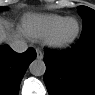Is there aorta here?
<instances>
[{"label":"aorta","instance_id":"obj_1","mask_svg":"<svg viewBox=\"0 0 95 95\" xmlns=\"http://www.w3.org/2000/svg\"><path fill=\"white\" fill-rule=\"evenodd\" d=\"M29 70L34 76H42L46 71V65L43 60L36 59L29 65Z\"/></svg>","mask_w":95,"mask_h":95}]
</instances>
